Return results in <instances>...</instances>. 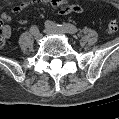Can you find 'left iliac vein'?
<instances>
[{"mask_svg":"<svg viewBox=\"0 0 119 119\" xmlns=\"http://www.w3.org/2000/svg\"><path fill=\"white\" fill-rule=\"evenodd\" d=\"M44 32L46 34H50V35H53V34H57V35H66V32L62 31V30H58V29H53V28H50V27H46Z\"/></svg>","mask_w":119,"mask_h":119,"instance_id":"1","label":"left iliac vein"}]
</instances>
